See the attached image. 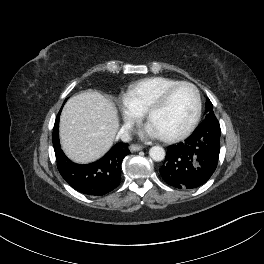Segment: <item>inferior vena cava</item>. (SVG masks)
Segmentation results:
<instances>
[{
  "label": "inferior vena cava",
  "instance_id": "inferior-vena-cava-1",
  "mask_svg": "<svg viewBox=\"0 0 264 264\" xmlns=\"http://www.w3.org/2000/svg\"><path fill=\"white\" fill-rule=\"evenodd\" d=\"M131 127L132 126L130 123L124 124L118 132V138L121 139L123 142H129L131 140V135H130Z\"/></svg>",
  "mask_w": 264,
  "mask_h": 264
}]
</instances>
